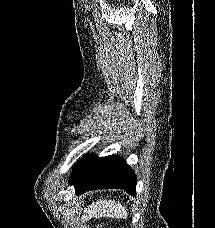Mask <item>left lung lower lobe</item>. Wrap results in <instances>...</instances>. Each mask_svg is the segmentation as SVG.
Wrapping results in <instances>:
<instances>
[{
    "label": "left lung lower lobe",
    "instance_id": "left-lung-lower-lobe-1",
    "mask_svg": "<svg viewBox=\"0 0 215 228\" xmlns=\"http://www.w3.org/2000/svg\"><path fill=\"white\" fill-rule=\"evenodd\" d=\"M70 184L75 187L76 195L96 189H123L130 195L136 194L134 171L121 157L109 155L83 157L74 167Z\"/></svg>",
    "mask_w": 215,
    "mask_h": 228
}]
</instances>
